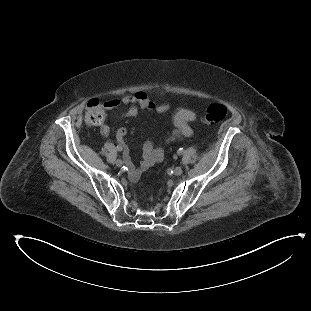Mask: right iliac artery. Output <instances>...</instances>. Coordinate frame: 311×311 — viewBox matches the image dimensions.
Wrapping results in <instances>:
<instances>
[{
    "label": "right iliac artery",
    "mask_w": 311,
    "mask_h": 311,
    "mask_svg": "<svg viewBox=\"0 0 311 311\" xmlns=\"http://www.w3.org/2000/svg\"><path fill=\"white\" fill-rule=\"evenodd\" d=\"M116 149L120 152L123 150V147L121 145H117Z\"/></svg>",
    "instance_id": "1"
}]
</instances>
